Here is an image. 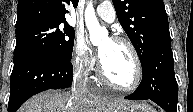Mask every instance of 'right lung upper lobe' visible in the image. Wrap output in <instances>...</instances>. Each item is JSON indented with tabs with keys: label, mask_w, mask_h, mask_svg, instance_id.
<instances>
[{
	"label": "right lung upper lobe",
	"mask_w": 193,
	"mask_h": 112,
	"mask_svg": "<svg viewBox=\"0 0 193 112\" xmlns=\"http://www.w3.org/2000/svg\"><path fill=\"white\" fill-rule=\"evenodd\" d=\"M79 0H18L16 29L38 23H67V5Z\"/></svg>",
	"instance_id": "cb5924a9"
}]
</instances>
